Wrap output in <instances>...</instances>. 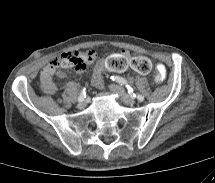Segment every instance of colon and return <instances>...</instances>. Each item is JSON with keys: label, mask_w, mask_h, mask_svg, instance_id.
<instances>
[{"label": "colon", "mask_w": 215, "mask_h": 183, "mask_svg": "<svg viewBox=\"0 0 215 183\" xmlns=\"http://www.w3.org/2000/svg\"><path fill=\"white\" fill-rule=\"evenodd\" d=\"M90 61V56L87 52H77V53H66L60 56L56 63L55 68H75L79 70L86 67ZM152 78L156 83H165L170 78V71L165 64L159 63L153 67Z\"/></svg>", "instance_id": "5ec220e1"}]
</instances>
